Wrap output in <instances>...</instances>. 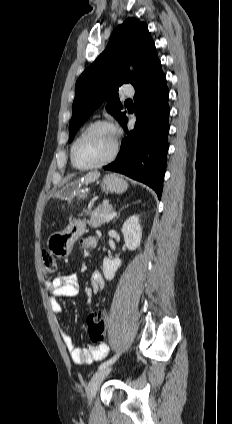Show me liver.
<instances>
[{
    "instance_id": "6515ba94",
    "label": "liver",
    "mask_w": 232,
    "mask_h": 424,
    "mask_svg": "<svg viewBox=\"0 0 232 424\" xmlns=\"http://www.w3.org/2000/svg\"><path fill=\"white\" fill-rule=\"evenodd\" d=\"M99 177H100V172L99 171L89 172L84 177L83 183L87 186L89 183L94 182ZM77 191H78L77 188H66L65 192L62 193V196L66 197L69 201H71V199L73 198V196H75L78 193ZM88 191H89V189L88 188H85L82 191V194H79V199H85L87 197Z\"/></svg>"
}]
</instances>
